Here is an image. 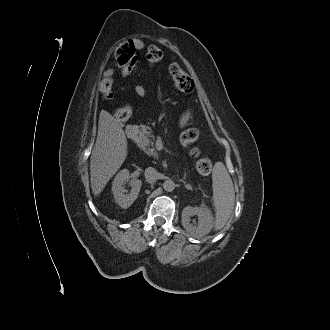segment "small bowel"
Returning <instances> with one entry per match:
<instances>
[{"instance_id": "1", "label": "small bowel", "mask_w": 330, "mask_h": 330, "mask_svg": "<svg viewBox=\"0 0 330 330\" xmlns=\"http://www.w3.org/2000/svg\"><path fill=\"white\" fill-rule=\"evenodd\" d=\"M132 45L134 48L140 50L143 48V42L139 39H134L131 41ZM136 67V60L134 59L133 61L129 62L126 65H120V75L123 77L129 76L135 69ZM135 93L139 97H144L147 93L146 88L142 85H137L135 87ZM120 118L125 122L128 120L131 116V108L129 106H124L118 110Z\"/></svg>"}]
</instances>
